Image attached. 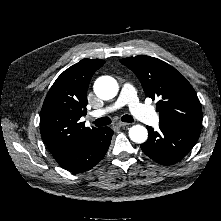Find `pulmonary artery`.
<instances>
[{
  "label": "pulmonary artery",
  "instance_id": "1",
  "mask_svg": "<svg viewBox=\"0 0 221 221\" xmlns=\"http://www.w3.org/2000/svg\"><path fill=\"white\" fill-rule=\"evenodd\" d=\"M125 105L129 107L132 115L143 123L151 126H156L158 124L159 117L156 112L139 102L134 87L129 83L123 85L118 99L113 104L103 109L93 111L91 116L96 118L101 117L108 113H112Z\"/></svg>",
  "mask_w": 221,
  "mask_h": 221
}]
</instances>
